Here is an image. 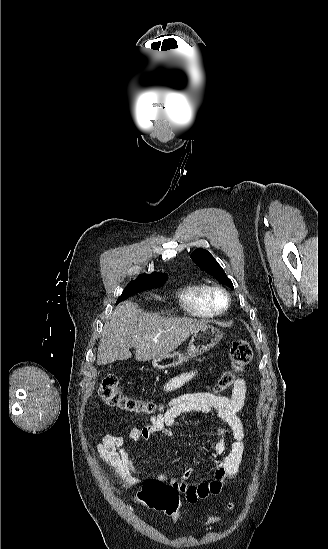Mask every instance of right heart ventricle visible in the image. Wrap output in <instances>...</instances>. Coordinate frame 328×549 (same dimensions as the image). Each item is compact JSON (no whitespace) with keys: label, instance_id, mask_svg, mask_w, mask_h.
I'll return each instance as SVG.
<instances>
[{"label":"right heart ventricle","instance_id":"right-heart-ventricle-1","mask_svg":"<svg viewBox=\"0 0 328 549\" xmlns=\"http://www.w3.org/2000/svg\"><path fill=\"white\" fill-rule=\"evenodd\" d=\"M206 283H191L180 294V309L185 310V319H197V322L215 318L210 309Z\"/></svg>","mask_w":328,"mask_h":549}]
</instances>
